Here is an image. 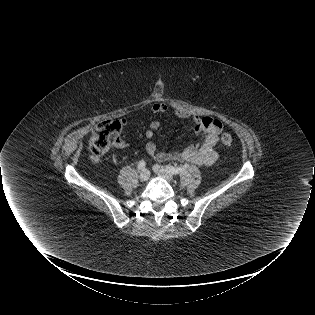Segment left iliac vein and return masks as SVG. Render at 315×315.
Instances as JSON below:
<instances>
[{"mask_svg": "<svg viewBox=\"0 0 315 315\" xmlns=\"http://www.w3.org/2000/svg\"><path fill=\"white\" fill-rule=\"evenodd\" d=\"M154 172H156L162 178L171 181L173 179L172 174H170L164 167L157 168L156 166L153 167Z\"/></svg>", "mask_w": 315, "mask_h": 315, "instance_id": "obj_1", "label": "left iliac vein"}]
</instances>
